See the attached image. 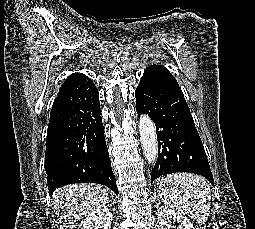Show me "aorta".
<instances>
[{
    "label": "aorta",
    "instance_id": "762f6f07",
    "mask_svg": "<svg viewBox=\"0 0 255 229\" xmlns=\"http://www.w3.org/2000/svg\"><path fill=\"white\" fill-rule=\"evenodd\" d=\"M140 140L144 156L148 163H154L158 155L155 124L148 115H141L139 120Z\"/></svg>",
    "mask_w": 255,
    "mask_h": 229
}]
</instances>
